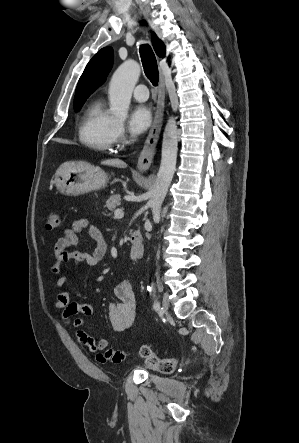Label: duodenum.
<instances>
[{
  "instance_id": "obj_1",
  "label": "duodenum",
  "mask_w": 299,
  "mask_h": 443,
  "mask_svg": "<svg viewBox=\"0 0 299 443\" xmlns=\"http://www.w3.org/2000/svg\"><path fill=\"white\" fill-rule=\"evenodd\" d=\"M130 242V257L133 260L141 258L143 255V241L141 233L137 230L133 231L130 237Z\"/></svg>"
}]
</instances>
